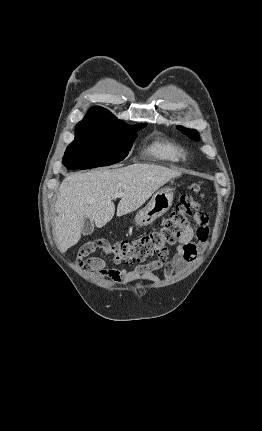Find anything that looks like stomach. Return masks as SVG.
Segmentation results:
<instances>
[{
	"mask_svg": "<svg viewBox=\"0 0 262 431\" xmlns=\"http://www.w3.org/2000/svg\"><path fill=\"white\" fill-rule=\"evenodd\" d=\"M174 189L165 187L158 190L149 203L140 209L135 216L136 225L147 226L166 213L172 206Z\"/></svg>",
	"mask_w": 262,
	"mask_h": 431,
	"instance_id": "stomach-1",
	"label": "stomach"
}]
</instances>
